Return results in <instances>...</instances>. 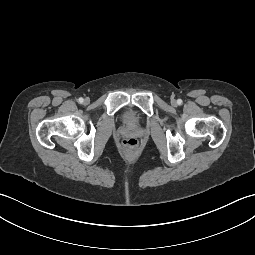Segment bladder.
<instances>
[{"label":"bladder","mask_w":255,"mask_h":255,"mask_svg":"<svg viewBox=\"0 0 255 255\" xmlns=\"http://www.w3.org/2000/svg\"><path fill=\"white\" fill-rule=\"evenodd\" d=\"M125 120H126V121H131V117H130L129 115H127V116L125 117Z\"/></svg>","instance_id":"1"}]
</instances>
